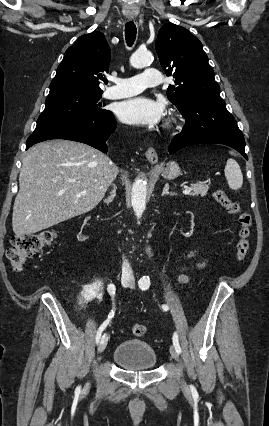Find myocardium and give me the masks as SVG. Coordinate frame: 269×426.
<instances>
[{
    "label": "myocardium",
    "mask_w": 269,
    "mask_h": 426,
    "mask_svg": "<svg viewBox=\"0 0 269 426\" xmlns=\"http://www.w3.org/2000/svg\"><path fill=\"white\" fill-rule=\"evenodd\" d=\"M177 123V119L175 117H172L169 121H168V127H172Z\"/></svg>",
    "instance_id": "f54148a6"
}]
</instances>
